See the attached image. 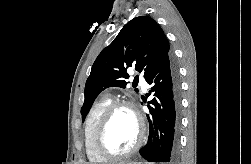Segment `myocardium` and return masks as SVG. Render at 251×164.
Masks as SVG:
<instances>
[{
    "label": "myocardium",
    "instance_id": "myocardium-1",
    "mask_svg": "<svg viewBox=\"0 0 251 164\" xmlns=\"http://www.w3.org/2000/svg\"><path fill=\"white\" fill-rule=\"evenodd\" d=\"M119 108H127L133 113L138 125V137L135 144L129 150L122 153H113L106 148L104 144V137L108 124L113 114ZM145 133H146V128L144 120L139 111L137 110V108L135 107V105L127 100H116L111 102L107 106V108L105 109V111L103 112L102 116L98 121L93 139L94 149L101 157H103L106 160L123 159L133 155L140 149L145 139Z\"/></svg>",
    "mask_w": 251,
    "mask_h": 164
}]
</instances>
